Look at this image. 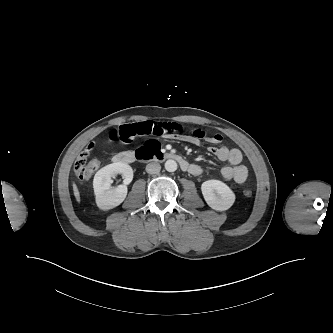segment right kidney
I'll return each instance as SVG.
<instances>
[{"instance_id": "1", "label": "right kidney", "mask_w": 333, "mask_h": 333, "mask_svg": "<svg viewBox=\"0 0 333 333\" xmlns=\"http://www.w3.org/2000/svg\"><path fill=\"white\" fill-rule=\"evenodd\" d=\"M122 174L124 184L116 188L111 187L112 177ZM133 179L132 168L122 162L109 164L100 169L94 176L93 188L95 201L101 210H109L119 206L127 196V184Z\"/></svg>"}]
</instances>
